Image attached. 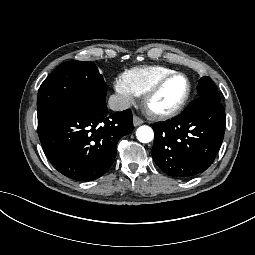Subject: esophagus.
<instances>
[{"instance_id":"1","label":"esophagus","mask_w":255,"mask_h":255,"mask_svg":"<svg viewBox=\"0 0 255 255\" xmlns=\"http://www.w3.org/2000/svg\"><path fill=\"white\" fill-rule=\"evenodd\" d=\"M142 123H143V120L141 118H139L136 115L133 116V125L135 127L141 125Z\"/></svg>"}]
</instances>
